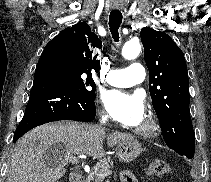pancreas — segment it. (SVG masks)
Masks as SVG:
<instances>
[{
	"instance_id": "obj_1",
	"label": "pancreas",
	"mask_w": 211,
	"mask_h": 182,
	"mask_svg": "<svg viewBox=\"0 0 211 182\" xmlns=\"http://www.w3.org/2000/svg\"><path fill=\"white\" fill-rule=\"evenodd\" d=\"M113 165L111 157H104L96 166L93 167L91 172L86 176L83 182H103L105 177L109 175L110 168Z\"/></svg>"
}]
</instances>
